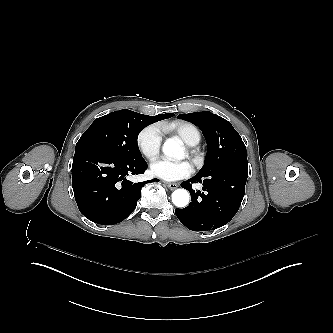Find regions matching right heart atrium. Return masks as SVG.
<instances>
[{"label": "right heart atrium", "instance_id": "obj_1", "mask_svg": "<svg viewBox=\"0 0 333 333\" xmlns=\"http://www.w3.org/2000/svg\"><path fill=\"white\" fill-rule=\"evenodd\" d=\"M162 143V135L155 126L145 128L137 138V146L140 153L149 164L154 163L159 155Z\"/></svg>", "mask_w": 333, "mask_h": 333}]
</instances>
